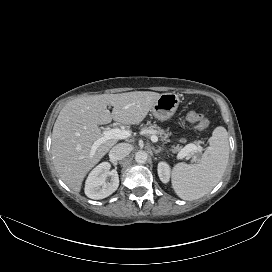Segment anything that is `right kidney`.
<instances>
[{"label":"right kidney","instance_id":"obj_1","mask_svg":"<svg viewBox=\"0 0 272 272\" xmlns=\"http://www.w3.org/2000/svg\"><path fill=\"white\" fill-rule=\"evenodd\" d=\"M107 162L96 166L89 174L85 183V194L95 200L103 199L115 192L119 186V177L116 170H110ZM108 177L110 180L107 182Z\"/></svg>","mask_w":272,"mask_h":272}]
</instances>
